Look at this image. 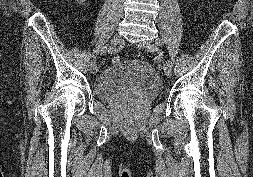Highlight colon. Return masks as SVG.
Wrapping results in <instances>:
<instances>
[{"label":"colon","mask_w":253,"mask_h":177,"mask_svg":"<svg viewBox=\"0 0 253 177\" xmlns=\"http://www.w3.org/2000/svg\"><path fill=\"white\" fill-rule=\"evenodd\" d=\"M119 61H120V57L118 55L113 56V58H112L113 63H118Z\"/></svg>","instance_id":"colon-1"}]
</instances>
